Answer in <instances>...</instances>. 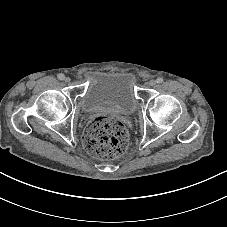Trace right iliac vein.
Instances as JSON below:
<instances>
[{
  "label": "right iliac vein",
  "instance_id": "obj_1",
  "mask_svg": "<svg viewBox=\"0 0 227 227\" xmlns=\"http://www.w3.org/2000/svg\"><path fill=\"white\" fill-rule=\"evenodd\" d=\"M70 80H71V79H70L69 77H65V78H64V81H65V82H70Z\"/></svg>",
  "mask_w": 227,
  "mask_h": 227
}]
</instances>
